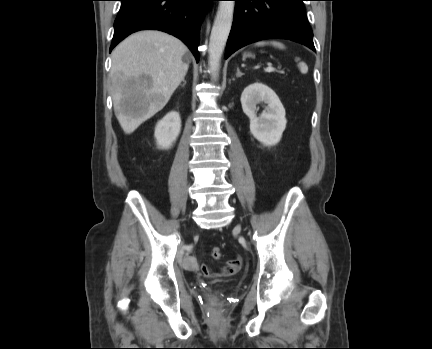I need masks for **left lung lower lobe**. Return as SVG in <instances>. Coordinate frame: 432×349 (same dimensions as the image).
Masks as SVG:
<instances>
[{
    "mask_svg": "<svg viewBox=\"0 0 432 349\" xmlns=\"http://www.w3.org/2000/svg\"><path fill=\"white\" fill-rule=\"evenodd\" d=\"M234 21L225 58L241 47L263 39L279 38L315 51L304 0H234Z\"/></svg>",
    "mask_w": 432,
    "mask_h": 349,
    "instance_id": "1",
    "label": "left lung lower lobe"
}]
</instances>
